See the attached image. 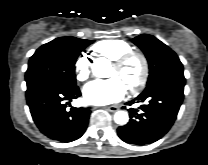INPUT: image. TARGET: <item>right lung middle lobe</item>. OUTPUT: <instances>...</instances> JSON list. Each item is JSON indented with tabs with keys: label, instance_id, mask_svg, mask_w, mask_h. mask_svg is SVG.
<instances>
[{
	"label": "right lung middle lobe",
	"instance_id": "right-lung-middle-lobe-1",
	"mask_svg": "<svg viewBox=\"0 0 208 165\" xmlns=\"http://www.w3.org/2000/svg\"><path fill=\"white\" fill-rule=\"evenodd\" d=\"M91 43L93 41L75 37H60L42 45L28 63L25 75L27 91L45 83L76 86V59Z\"/></svg>",
	"mask_w": 208,
	"mask_h": 165
}]
</instances>
